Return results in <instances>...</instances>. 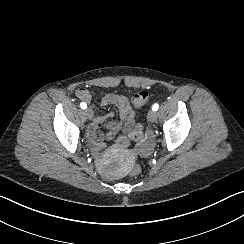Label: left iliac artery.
I'll list each match as a JSON object with an SVG mask.
<instances>
[{"instance_id":"left-iliac-artery-1","label":"left iliac artery","mask_w":244,"mask_h":244,"mask_svg":"<svg viewBox=\"0 0 244 244\" xmlns=\"http://www.w3.org/2000/svg\"><path fill=\"white\" fill-rule=\"evenodd\" d=\"M158 108H159V105L156 104V103L152 106V110H153V111H157Z\"/></svg>"}]
</instances>
